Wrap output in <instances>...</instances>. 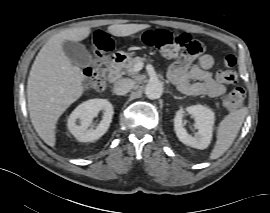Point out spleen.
<instances>
[{
	"instance_id": "obj_1",
	"label": "spleen",
	"mask_w": 270,
	"mask_h": 213,
	"mask_svg": "<svg viewBox=\"0 0 270 213\" xmlns=\"http://www.w3.org/2000/svg\"><path fill=\"white\" fill-rule=\"evenodd\" d=\"M247 110L245 108L229 113L217 128L216 144L210 154L214 160L222 156L232 145L244 122Z\"/></svg>"
}]
</instances>
